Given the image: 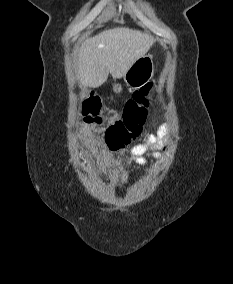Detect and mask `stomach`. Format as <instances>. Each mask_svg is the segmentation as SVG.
<instances>
[{
    "mask_svg": "<svg viewBox=\"0 0 233 284\" xmlns=\"http://www.w3.org/2000/svg\"><path fill=\"white\" fill-rule=\"evenodd\" d=\"M154 64L152 55H144L137 59L123 76L126 85L132 89H138L147 84L153 77ZM113 90L120 93V84H114Z\"/></svg>",
    "mask_w": 233,
    "mask_h": 284,
    "instance_id": "obj_1",
    "label": "stomach"
}]
</instances>
